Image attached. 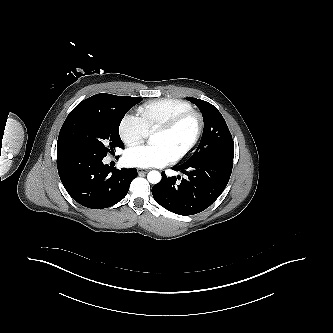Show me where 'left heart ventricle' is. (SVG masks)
<instances>
[{"instance_id": "obj_1", "label": "left heart ventricle", "mask_w": 333, "mask_h": 333, "mask_svg": "<svg viewBox=\"0 0 333 333\" xmlns=\"http://www.w3.org/2000/svg\"><path fill=\"white\" fill-rule=\"evenodd\" d=\"M196 128V122L190 118L171 132H155L153 144L163 145L171 157L182 151L191 142Z\"/></svg>"}]
</instances>
